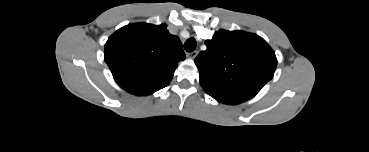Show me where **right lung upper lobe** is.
Returning <instances> with one entry per match:
<instances>
[{"label": "right lung upper lobe", "mask_w": 369, "mask_h": 152, "mask_svg": "<svg viewBox=\"0 0 369 152\" xmlns=\"http://www.w3.org/2000/svg\"><path fill=\"white\" fill-rule=\"evenodd\" d=\"M166 28V24H129L108 38L105 62L125 91L150 95L170 83L185 53L179 38Z\"/></svg>", "instance_id": "1"}]
</instances>
